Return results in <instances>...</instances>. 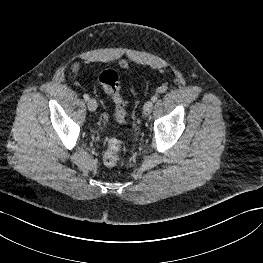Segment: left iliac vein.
Here are the masks:
<instances>
[{
	"label": "left iliac vein",
	"instance_id": "4c4485c4",
	"mask_svg": "<svg viewBox=\"0 0 263 263\" xmlns=\"http://www.w3.org/2000/svg\"><path fill=\"white\" fill-rule=\"evenodd\" d=\"M152 109H153V102L152 101H147L144 104V107H143L144 115H149L151 113Z\"/></svg>",
	"mask_w": 263,
	"mask_h": 263
}]
</instances>
